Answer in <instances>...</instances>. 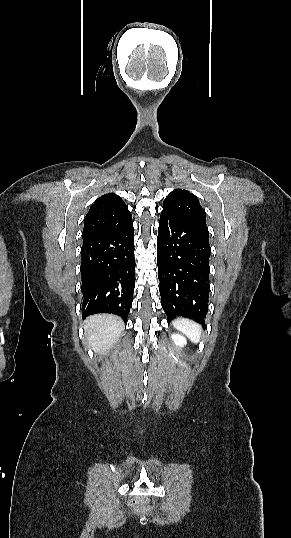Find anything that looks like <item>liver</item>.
I'll return each mask as SVG.
<instances>
[{
  "instance_id": "1",
  "label": "liver",
  "mask_w": 291,
  "mask_h": 538,
  "mask_svg": "<svg viewBox=\"0 0 291 538\" xmlns=\"http://www.w3.org/2000/svg\"><path fill=\"white\" fill-rule=\"evenodd\" d=\"M124 330L122 319L113 314H96L86 318L84 331L86 343L100 355L108 353Z\"/></svg>"
}]
</instances>
